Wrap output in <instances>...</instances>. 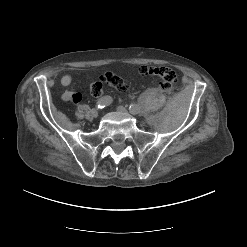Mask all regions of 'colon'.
<instances>
[{"instance_id": "1", "label": "colon", "mask_w": 247, "mask_h": 247, "mask_svg": "<svg viewBox=\"0 0 247 247\" xmlns=\"http://www.w3.org/2000/svg\"><path fill=\"white\" fill-rule=\"evenodd\" d=\"M139 72L143 76L155 77L159 88L164 91L171 90L178 78L177 73L172 68L166 66L144 65L140 67ZM103 78L106 83L118 91H125L127 89V84L115 74L106 73ZM102 88V83L97 81L91 84L90 92L93 96H99L102 93Z\"/></svg>"}]
</instances>
